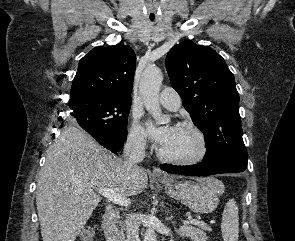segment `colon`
<instances>
[{
	"mask_svg": "<svg viewBox=\"0 0 295 241\" xmlns=\"http://www.w3.org/2000/svg\"><path fill=\"white\" fill-rule=\"evenodd\" d=\"M94 229L91 226L83 228L80 233V241H93Z\"/></svg>",
	"mask_w": 295,
	"mask_h": 241,
	"instance_id": "colon-1",
	"label": "colon"
}]
</instances>
